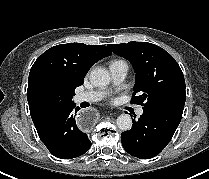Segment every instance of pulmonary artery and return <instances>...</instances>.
Returning <instances> with one entry per match:
<instances>
[{
	"mask_svg": "<svg viewBox=\"0 0 209 179\" xmlns=\"http://www.w3.org/2000/svg\"><path fill=\"white\" fill-rule=\"evenodd\" d=\"M109 69H110L112 81L115 85H117V84H120L125 79V77L127 76L129 67L125 61L117 60V61H113L110 64ZM105 95H106V92L103 90L86 91V92L78 93L74 99L77 103L97 102V101L102 100L105 97ZM137 114L139 116L142 115L143 109L138 108Z\"/></svg>",
	"mask_w": 209,
	"mask_h": 179,
	"instance_id": "pulmonary-artery-1",
	"label": "pulmonary artery"
}]
</instances>
